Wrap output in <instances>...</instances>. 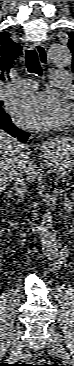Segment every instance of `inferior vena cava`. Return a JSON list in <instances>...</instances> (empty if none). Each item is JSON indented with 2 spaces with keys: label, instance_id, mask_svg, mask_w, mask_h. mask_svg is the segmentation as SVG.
<instances>
[{
  "label": "inferior vena cava",
  "instance_id": "inferior-vena-cava-1",
  "mask_svg": "<svg viewBox=\"0 0 74 366\" xmlns=\"http://www.w3.org/2000/svg\"><path fill=\"white\" fill-rule=\"evenodd\" d=\"M21 149L23 150H27L28 151V147H25L24 145L21 146ZM28 154V152H26ZM27 154H25L24 152L21 153L20 155V162H19V167L17 172L14 174V188H15V195L18 196V202H23L25 196H26V181H25V174H24V166H25V158H27Z\"/></svg>",
  "mask_w": 74,
  "mask_h": 366
}]
</instances>
